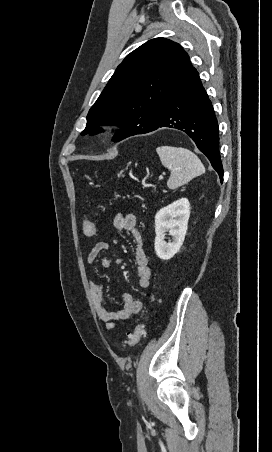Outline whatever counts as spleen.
I'll return each instance as SVG.
<instances>
[{"mask_svg":"<svg viewBox=\"0 0 272 452\" xmlns=\"http://www.w3.org/2000/svg\"><path fill=\"white\" fill-rule=\"evenodd\" d=\"M164 167L171 171L167 186L176 189L205 173L201 160L186 148L159 146L156 149Z\"/></svg>","mask_w":272,"mask_h":452,"instance_id":"spleen-1","label":"spleen"}]
</instances>
